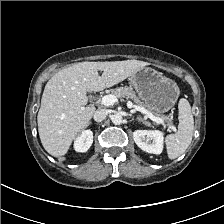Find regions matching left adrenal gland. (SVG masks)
Segmentation results:
<instances>
[{
  "label": "left adrenal gland",
  "mask_w": 224,
  "mask_h": 224,
  "mask_svg": "<svg viewBox=\"0 0 224 224\" xmlns=\"http://www.w3.org/2000/svg\"><path fill=\"white\" fill-rule=\"evenodd\" d=\"M137 121H138V122H142L143 124H145V125H147V126H150V123L147 122V121H145V120L142 119V118H137Z\"/></svg>",
  "instance_id": "a2214340"
}]
</instances>
